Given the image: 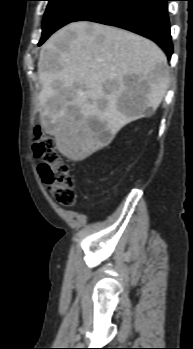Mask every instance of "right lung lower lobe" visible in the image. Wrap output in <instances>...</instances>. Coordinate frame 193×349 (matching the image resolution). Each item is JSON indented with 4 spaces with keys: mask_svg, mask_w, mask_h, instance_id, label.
Instances as JSON below:
<instances>
[{
    "mask_svg": "<svg viewBox=\"0 0 193 349\" xmlns=\"http://www.w3.org/2000/svg\"><path fill=\"white\" fill-rule=\"evenodd\" d=\"M167 1L97 0L72 22L93 21L132 31L157 43L170 59L173 46Z\"/></svg>",
    "mask_w": 193,
    "mask_h": 349,
    "instance_id": "1",
    "label": "right lung lower lobe"
}]
</instances>
